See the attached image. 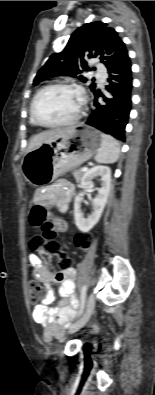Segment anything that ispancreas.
I'll return each instance as SVG.
<instances>
[{
  "label": "pancreas",
  "mask_w": 155,
  "mask_h": 395,
  "mask_svg": "<svg viewBox=\"0 0 155 395\" xmlns=\"http://www.w3.org/2000/svg\"><path fill=\"white\" fill-rule=\"evenodd\" d=\"M73 175H74V178H75V180L77 181V182H79L80 180H81V177H82V175H83V172L81 171V170H74L73 171Z\"/></svg>",
  "instance_id": "1"
}]
</instances>
